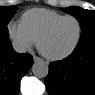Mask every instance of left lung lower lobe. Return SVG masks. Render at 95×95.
<instances>
[{
    "instance_id": "left-lung-lower-lobe-1",
    "label": "left lung lower lobe",
    "mask_w": 95,
    "mask_h": 95,
    "mask_svg": "<svg viewBox=\"0 0 95 95\" xmlns=\"http://www.w3.org/2000/svg\"><path fill=\"white\" fill-rule=\"evenodd\" d=\"M49 95H95V37L78 43L71 55L49 66Z\"/></svg>"
}]
</instances>
